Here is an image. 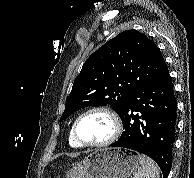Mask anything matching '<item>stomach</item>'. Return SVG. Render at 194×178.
I'll return each mask as SVG.
<instances>
[{
  "mask_svg": "<svg viewBox=\"0 0 194 178\" xmlns=\"http://www.w3.org/2000/svg\"><path fill=\"white\" fill-rule=\"evenodd\" d=\"M139 165V155L132 150L99 149L69 170L66 178H129Z\"/></svg>",
  "mask_w": 194,
  "mask_h": 178,
  "instance_id": "stomach-1",
  "label": "stomach"
}]
</instances>
